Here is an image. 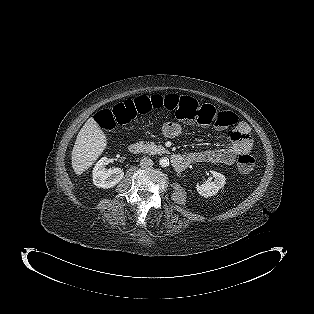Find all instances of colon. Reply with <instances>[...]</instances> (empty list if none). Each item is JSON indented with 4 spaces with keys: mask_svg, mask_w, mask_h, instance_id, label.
Listing matches in <instances>:
<instances>
[{
    "mask_svg": "<svg viewBox=\"0 0 314 314\" xmlns=\"http://www.w3.org/2000/svg\"><path fill=\"white\" fill-rule=\"evenodd\" d=\"M161 108L172 112L178 120L185 123L196 122L219 129H226L236 123V117L231 112L218 111L211 105L200 104L190 96L177 94H155L126 100L112 109L99 111L95 116V123L103 130L112 131L117 126L128 125L137 117ZM254 166L255 158L250 154H242L237 159V167L243 173L250 172Z\"/></svg>",
    "mask_w": 314,
    "mask_h": 314,
    "instance_id": "5ec220e1",
    "label": "colon"
}]
</instances>
